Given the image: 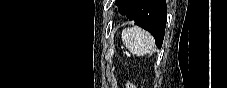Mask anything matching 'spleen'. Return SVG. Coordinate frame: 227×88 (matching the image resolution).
Returning <instances> with one entry per match:
<instances>
[{
    "label": "spleen",
    "instance_id": "obj_1",
    "mask_svg": "<svg viewBox=\"0 0 227 88\" xmlns=\"http://www.w3.org/2000/svg\"><path fill=\"white\" fill-rule=\"evenodd\" d=\"M122 41L126 48L136 56H144L154 46V39L140 27H128L122 31Z\"/></svg>",
    "mask_w": 227,
    "mask_h": 88
}]
</instances>
